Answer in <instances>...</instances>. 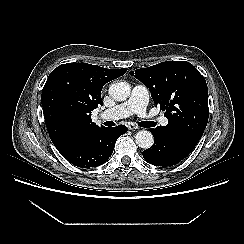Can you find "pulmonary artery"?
Here are the masks:
<instances>
[{"mask_svg": "<svg viewBox=\"0 0 244 244\" xmlns=\"http://www.w3.org/2000/svg\"><path fill=\"white\" fill-rule=\"evenodd\" d=\"M149 102V93L145 86L136 85L133 87L130 98L113 108L107 109L102 113V116L107 119L125 118L132 114H137L143 118H149L147 106ZM159 123L163 126L168 124L166 117H160Z\"/></svg>", "mask_w": 244, "mask_h": 244, "instance_id": "obj_1", "label": "pulmonary artery"}]
</instances>
